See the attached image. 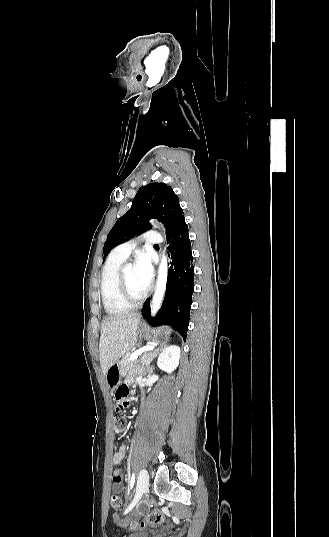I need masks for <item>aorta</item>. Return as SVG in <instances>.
<instances>
[{
    "label": "aorta",
    "mask_w": 329,
    "mask_h": 537,
    "mask_svg": "<svg viewBox=\"0 0 329 537\" xmlns=\"http://www.w3.org/2000/svg\"><path fill=\"white\" fill-rule=\"evenodd\" d=\"M130 266L131 265H129V267ZM167 276H168L167 257L163 254L160 265H159V269H158L156 287H155V292H154V295L152 298V304H151V310H152L153 315L157 313L164 299L166 285H167Z\"/></svg>",
    "instance_id": "1"
}]
</instances>
